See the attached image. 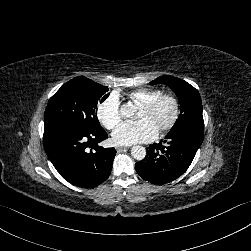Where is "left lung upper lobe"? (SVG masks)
<instances>
[{"label": "left lung upper lobe", "instance_id": "1", "mask_svg": "<svg viewBox=\"0 0 251 251\" xmlns=\"http://www.w3.org/2000/svg\"><path fill=\"white\" fill-rule=\"evenodd\" d=\"M158 83L169 86L181 105L179 118L168 134L182 130L204 133L202 102L198 90L184 80L169 75L160 76L151 82Z\"/></svg>", "mask_w": 251, "mask_h": 251}]
</instances>
